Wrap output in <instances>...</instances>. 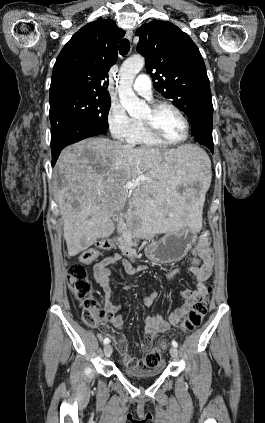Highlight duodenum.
<instances>
[{
  "label": "duodenum",
  "instance_id": "duodenum-1",
  "mask_svg": "<svg viewBox=\"0 0 265 423\" xmlns=\"http://www.w3.org/2000/svg\"><path fill=\"white\" fill-rule=\"evenodd\" d=\"M125 231H126V221L122 220L119 223L120 247L128 257H130L131 259H134L137 257V252L132 247L131 241L124 237Z\"/></svg>",
  "mask_w": 265,
  "mask_h": 423
}]
</instances>
